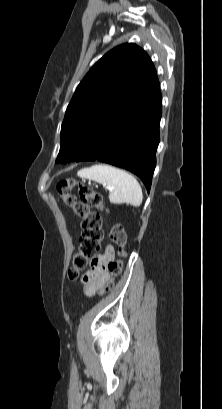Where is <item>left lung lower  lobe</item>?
<instances>
[{"label": "left lung lower lobe", "instance_id": "left-lung-lower-lobe-1", "mask_svg": "<svg viewBox=\"0 0 222 409\" xmlns=\"http://www.w3.org/2000/svg\"><path fill=\"white\" fill-rule=\"evenodd\" d=\"M160 90L146 101L128 99L76 160L100 161L136 174L150 191L162 114Z\"/></svg>", "mask_w": 222, "mask_h": 409}]
</instances>
